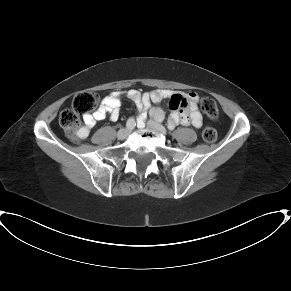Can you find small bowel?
Here are the masks:
<instances>
[{
	"instance_id": "c3829d8e",
	"label": "small bowel",
	"mask_w": 291,
	"mask_h": 291,
	"mask_svg": "<svg viewBox=\"0 0 291 291\" xmlns=\"http://www.w3.org/2000/svg\"><path fill=\"white\" fill-rule=\"evenodd\" d=\"M126 97L132 101L138 111L139 126H144V120L152 102H162L164 100L177 101V109L172 110L168 125L172 129L179 123L183 125H192L200 128L203 124L202 115L198 110L199 96L197 93L189 92L186 94L174 93L166 89H157L152 92L140 93L132 89L123 94L122 92H112L105 97L99 107L93 114H87L83 117V125L79 127L78 136L81 139L88 137L92 128L106 116L112 121H116L119 117L120 106ZM183 103H187L183 107Z\"/></svg>"
}]
</instances>
